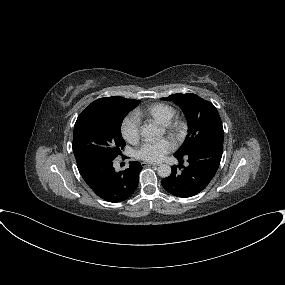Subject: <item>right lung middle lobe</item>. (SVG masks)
<instances>
[{"mask_svg": "<svg viewBox=\"0 0 285 285\" xmlns=\"http://www.w3.org/2000/svg\"><path fill=\"white\" fill-rule=\"evenodd\" d=\"M140 100L119 98L88 106L77 118L73 133L76 160L97 157L114 160L125 146L121 124Z\"/></svg>", "mask_w": 285, "mask_h": 285, "instance_id": "1", "label": "right lung middle lobe"}]
</instances>
